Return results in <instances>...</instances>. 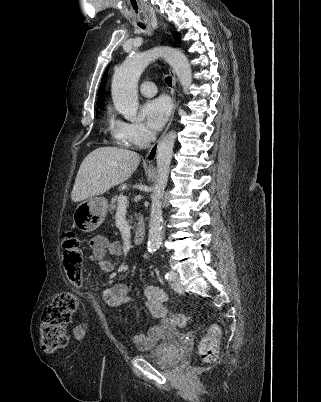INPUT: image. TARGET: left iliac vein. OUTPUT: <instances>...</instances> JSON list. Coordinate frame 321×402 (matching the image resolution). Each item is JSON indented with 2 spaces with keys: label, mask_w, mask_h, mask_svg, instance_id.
I'll return each instance as SVG.
<instances>
[{
  "label": "left iliac vein",
  "mask_w": 321,
  "mask_h": 402,
  "mask_svg": "<svg viewBox=\"0 0 321 402\" xmlns=\"http://www.w3.org/2000/svg\"><path fill=\"white\" fill-rule=\"evenodd\" d=\"M172 273L174 274V279H173V282H172V288L177 293H183L184 288H183V286L181 284V281H180L179 277L177 276V274L175 272L172 271Z\"/></svg>",
  "instance_id": "obj_1"
}]
</instances>
